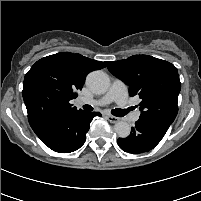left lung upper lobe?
<instances>
[{
  "mask_svg": "<svg viewBox=\"0 0 201 201\" xmlns=\"http://www.w3.org/2000/svg\"><path fill=\"white\" fill-rule=\"evenodd\" d=\"M109 71L125 82L130 95H139L140 119H160L172 123L178 113L181 83L177 68L164 60L134 55L106 62Z\"/></svg>",
  "mask_w": 201,
  "mask_h": 201,
  "instance_id": "1",
  "label": "left lung upper lobe"
}]
</instances>
